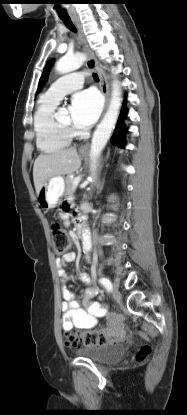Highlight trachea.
Here are the masks:
<instances>
[{"instance_id": "trachea-1", "label": "trachea", "mask_w": 187, "mask_h": 415, "mask_svg": "<svg viewBox=\"0 0 187 415\" xmlns=\"http://www.w3.org/2000/svg\"><path fill=\"white\" fill-rule=\"evenodd\" d=\"M62 21L64 22V24L66 25V27H68L72 31H75V27H74V25H73V23H72V21L70 19L69 20L62 19ZM93 78H94L95 81H99V78H98V75L97 74H94L93 75Z\"/></svg>"}]
</instances>
